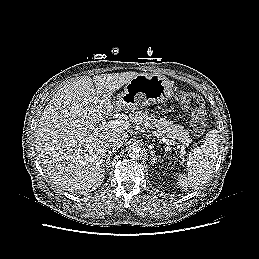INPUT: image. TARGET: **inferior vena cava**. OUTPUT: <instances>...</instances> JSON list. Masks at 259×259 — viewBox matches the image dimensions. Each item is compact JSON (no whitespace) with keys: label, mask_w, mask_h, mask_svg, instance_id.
Here are the masks:
<instances>
[{"label":"inferior vena cava","mask_w":259,"mask_h":259,"mask_svg":"<svg viewBox=\"0 0 259 259\" xmlns=\"http://www.w3.org/2000/svg\"><path fill=\"white\" fill-rule=\"evenodd\" d=\"M123 145V139L121 137L113 136L107 140L108 148L113 150L120 148Z\"/></svg>","instance_id":"602c4592"}]
</instances>
